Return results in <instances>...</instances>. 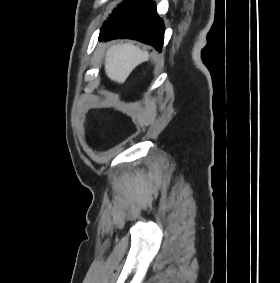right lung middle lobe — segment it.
I'll list each match as a JSON object with an SVG mask.
<instances>
[{
	"mask_svg": "<svg viewBox=\"0 0 280 283\" xmlns=\"http://www.w3.org/2000/svg\"><path fill=\"white\" fill-rule=\"evenodd\" d=\"M141 1L140 0H130V1H127L125 3H123L121 6H119L117 9H115L113 11V13L110 15V17L108 18V20L106 22H104V25L110 21L112 18H114L115 16H117L118 14L134 7L135 5H137L138 3H140Z\"/></svg>",
	"mask_w": 280,
	"mask_h": 283,
	"instance_id": "obj_1",
	"label": "right lung middle lobe"
}]
</instances>
